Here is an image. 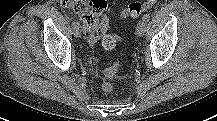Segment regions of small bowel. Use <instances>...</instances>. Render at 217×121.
Returning <instances> with one entry per match:
<instances>
[{
  "mask_svg": "<svg viewBox=\"0 0 217 121\" xmlns=\"http://www.w3.org/2000/svg\"><path fill=\"white\" fill-rule=\"evenodd\" d=\"M104 24H105V31L99 35H95L92 31L88 30L90 32L89 37H88V42L90 44H94L97 41H99L102 38V36L107 32V30L110 29V24L106 17H104Z\"/></svg>",
  "mask_w": 217,
  "mask_h": 121,
  "instance_id": "obj_1",
  "label": "small bowel"
}]
</instances>
